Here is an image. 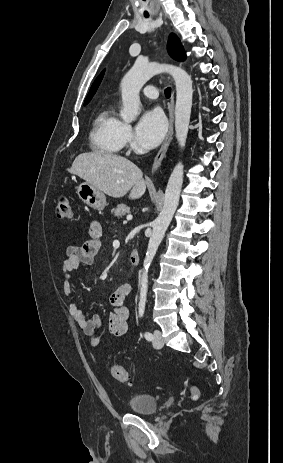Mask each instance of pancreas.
I'll use <instances>...</instances> for the list:
<instances>
[{
	"mask_svg": "<svg viewBox=\"0 0 283 463\" xmlns=\"http://www.w3.org/2000/svg\"><path fill=\"white\" fill-rule=\"evenodd\" d=\"M129 212H130V208L126 206L125 204H118L116 208H113L111 210V213L118 218H122Z\"/></svg>",
	"mask_w": 283,
	"mask_h": 463,
	"instance_id": "1",
	"label": "pancreas"
}]
</instances>
